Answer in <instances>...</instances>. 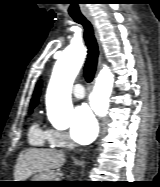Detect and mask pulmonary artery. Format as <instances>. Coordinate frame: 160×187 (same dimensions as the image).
Returning <instances> with one entry per match:
<instances>
[{"label": "pulmonary artery", "instance_id": "pulmonary-artery-1", "mask_svg": "<svg viewBox=\"0 0 160 187\" xmlns=\"http://www.w3.org/2000/svg\"><path fill=\"white\" fill-rule=\"evenodd\" d=\"M73 95L78 98V99H81V98H84L85 97V90H84V86L82 84H76L74 87H73Z\"/></svg>", "mask_w": 160, "mask_h": 187}]
</instances>
